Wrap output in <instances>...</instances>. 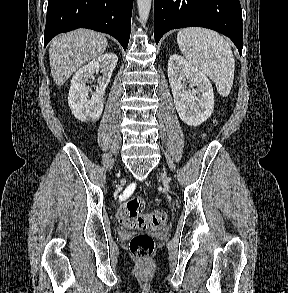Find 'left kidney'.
Instances as JSON below:
<instances>
[{
    "label": "left kidney",
    "mask_w": 288,
    "mask_h": 293,
    "mask_svg": "<svg viewBox=\"0 0 288 293\" xmlns=\"http://www.w3.org/2000/svg\"><path fill=\"white\" fill-rule=\"evenodd\" d=\"M168 78L181 120L190 126H198L206 121L214 107V93L209 79L177 54L168 60ZM185 79L196 87L195 91L184 88L182 81Z\"/></svg>",
    "instance_id": "5707ae66"
}]
</instances>
